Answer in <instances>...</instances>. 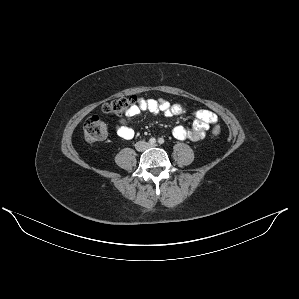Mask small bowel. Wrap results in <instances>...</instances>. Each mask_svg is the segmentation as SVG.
Returning a JSON list of instances; mask_svg holds the SVG:
<instances>
[{
	"label": "small bowel",
	"mask_w": 299,
	"mask_h": 299,
	"mask_svg": "<svg viewBox=\"0 0 299 299\" xmlns=\"http://www.w3.org/2000/svg\"><path fill=\"white\" fill-rule=\"evenodd\" d=\"M149 111L157 115L163 113L166 116H181L186 113V109L179 103H170L164 98L148 99L143 101L139 106L132 107L124 117L118 120L117 135L123 139H132L136 136L135 130L129 125L128 118L138 116L142 111ZM194 122L190 129L183 126H176L172 130V135L179 140L189 139L198 141L202 139L208 128L216 125L218 117L209 110H197L193 113Z\"/></svg>",
	"instance_id": "c3829d8e"
}]
</instances>
